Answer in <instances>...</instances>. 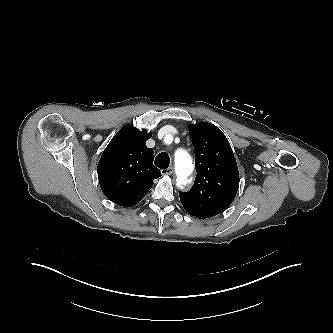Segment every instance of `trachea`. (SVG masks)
<instances>
[{"label":"trachea","instance_id":"trachea-1","mask_svg":"<svg viewBox=\"0 0 333 333\" xmlns=\"http://www.w3.org/2000/svg\"><path fill=\"white\" fill-rule=\"evenodd\" d=\"M170 164V157L166 152L159 153L155 158V166L160 169H167Z\"/></svg>","mask_w":333,"mask_h":333}]
</instances>
